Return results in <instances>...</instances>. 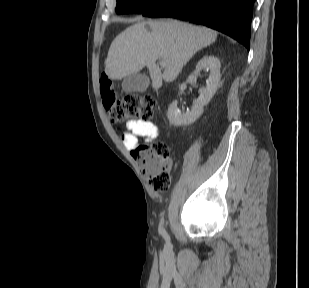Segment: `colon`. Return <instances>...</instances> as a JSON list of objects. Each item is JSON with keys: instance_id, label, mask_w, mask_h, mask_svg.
Returning a JSON list of instances; mask_svg holds the SVG:
<instances>
[{"instance_id": "1", "label": "colon", "mask_w": 309, "mask_h": 288, "mask_svg": "<svg viewBox=\"0 0 309 288\" xmlns=\"http://www.w3.org/2000/svg\"><path fill=\"white\" fill-rule=\"evenodd\" d=\"M100 92L103 106L109 118L115 122L141 118L153 119L157 101L150 95L131 93L117 98L113 82L107 75L100 78ZM140 169L149 185L156 191H165L170 187V151L164 142L137 144L134 150Z\"/></svg>"}]
</instances>
